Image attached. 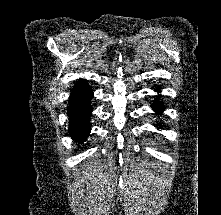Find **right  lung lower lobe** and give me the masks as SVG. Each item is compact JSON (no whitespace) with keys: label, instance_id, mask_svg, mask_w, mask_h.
Here are the masks:
<instances>
[{"label":"right lung lower lobe","instance_id":"1","mask_svg":"<svg viewBox=\"0 0 221 215\" xmlns=\"http://www.w3.org/2000/svg\"><path fill=\"white\" fill-rule=\"evenodd\" d=\"M93 91L86 80H79L70 94L68 116L69 133L73 139L82 142L90 132L89 118L92 112L90 100Z\"/></svg>","mask_w":221,"mask_h":215}]
</instances>
